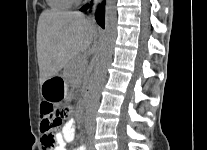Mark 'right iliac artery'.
<instances>
[{"label": "right iliac artery", "mask_w": 207, "mask_h": 150, "mask_svg": "<svg viewBox=\"0 0 207 150\" xmlns=\"http://www.w3.org/2000/svg\"><path fill=\"white\" fill-rule=\"evenodd\" d=\"M78 150H86L85 146H81L80 148H78Z\"/></svg>", "instance_id": "82829eb1"}]
</instances>
